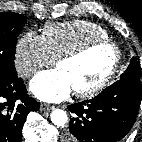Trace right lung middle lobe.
I'll list each match as a JSON object with an SVG mask.
<instances>
[{
  "label": "right lung middle lobe",
  "mask_w": 142,
  "mask_h": 142,
  "mask_svg": "<svg viewBox=\"0 0 142 142\" xmlns=\"http://www.w3.org/2000/svg\"><path fill=\"white\" fill-rule=\"evenodd\" d=\"M26 21L23 15L0 12V80L17 77L15 48L17 37Z\"/></svg>",
  "instance_id": "1"
}]
</instances>
